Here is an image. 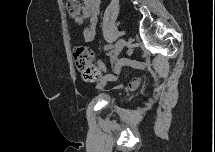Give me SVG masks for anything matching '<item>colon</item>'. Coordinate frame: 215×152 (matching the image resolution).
<instances>
[{
	"label": "colon",
	"mask_w": 215,
	"mask_h": 152,
	"mask_svg": "<svg viewBox=\"0 0 215 152\" xmlns=\"http://www.w3.org/2000/svg\"><path fill=\"white\" fill-rule=\"evenodd\" d=\"M66 9L70 16L79 18L82 16V3L77 0H69L66 2ZM73 58L77 69L81 72L86 80H91L98 74V69L93 63V52L84 46L74 49Z\"/></svg>",
	"instance_id": "colon-1"
}]
</instances>
